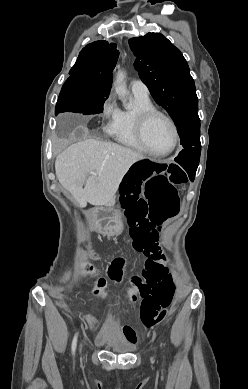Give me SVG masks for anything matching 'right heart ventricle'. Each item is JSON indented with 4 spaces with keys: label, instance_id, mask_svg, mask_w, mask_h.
<instances>
[{
    "label": "right heart ventricle",
    "instance_id": "e07e8e85",
    "mask_svg": "<svg viewBox=\"0 0 248 389\" xmlns=\"http://www.w3.org/2000/svg\"><path fill=\"white\" fill-rule=\"evenodd\" d=\"M134 106L131 109H118L111 128L112 137L119 143L132 149L144 152L136 136V116L145 109L153 108L149 97L133 94Z\"/></svg>",
    "mask_w": 248,
    "mask_h": 389
}]
</instances>
